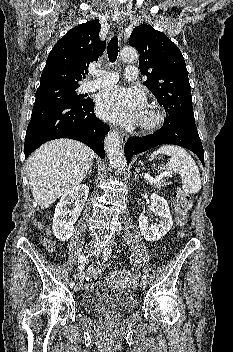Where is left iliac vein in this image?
<instances>
[{
    "mask_svg": "<svg viewBox=\"0 0 233 352\" xmlns=\"http://www.w3.org/2000/svg\"><path fill=\"white\" fill-rule=\"evenodd\" d=\"M101 252H102L101 247H98V248H97V251H96V253H95V255L98 256V255L101 254ZM145 288H146V283L142 282V283L140 284V289H141V290H145Z\"/></svg>",
    "mask_w": 233,
    "mask_h": 352,
    "instance_id": "4c4485c4",
    "label": "left iliac vein"
}]
</instances>
